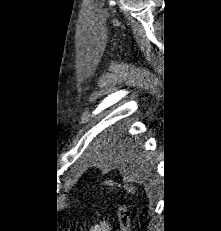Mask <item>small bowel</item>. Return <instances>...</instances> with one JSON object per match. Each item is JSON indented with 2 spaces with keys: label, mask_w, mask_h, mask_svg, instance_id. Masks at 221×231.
<instances>
[{
  "label": "small bowel",
  "mask_w": 221,
  "mask_h": 231,
  "mask_svg": "<svg viewBox=\"0 0 221 231\" xmlns=\"http://www.w3.org/2000/svg\"><path fill=\"white\" fill-rule=\"evenodd\" d=\"M90 231H110V225L107 221H100Z\"/></svg>",
  "instance_id": "obj_1"
}]
</instances>
